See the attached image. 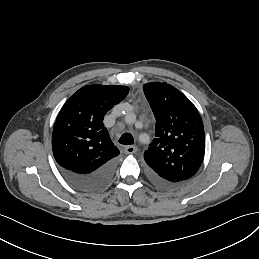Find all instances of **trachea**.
Wrapping results in <instances>:
<instances>
[{
    "instance_id": "1",
    "label": "trachea",
    "mask_w": 259,
    "mask_h": 259,
    "mask_svg": "<svg viewBox=\"0 0 259 259\" xmlns=\"http://www.w3.org/2000/svg\"><path fill=\"white\" fill-rule=\"evenodd\" d=\"M119 143L123 144V145H131L134 143L133 137L131 134L129 133H124L120 139H119Z\"/></svg>"
}]
</instances>
